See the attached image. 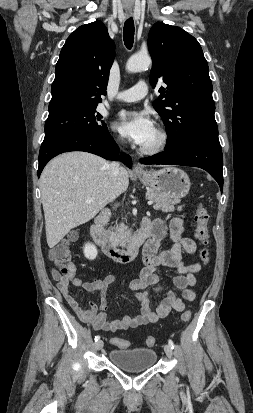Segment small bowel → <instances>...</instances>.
<instances>
[{
    "label": "small bowel",
    "mask_w": 253,
    "mask_h": 413,
    "mask_svg": "<svg viewBox=\"0 0 253 413\" xmlns=\"http://www.w3.org/2000/svg\"><path fill=\"white\" fill-rule=\"evenodd\" d=\"M145 220L151 226L152 236L143 249L144 267L140 271L139 278L130 284L131 288L137 291V299L141 307L139 315L125 316L116 320L107 319V290L116 281L114 275H109L101 280L84 282L76 277V268L72 263H70L71 273L68 275H62L56 268L52 269V276L66 302L81 321L91 324L95 330L116 332L155 323L166 317L171 310L183 311L185 309L184 302L195 299L196 294L193 290L197 283L195 274L201 270V265L198 262H185L183 259L184 253L193 255L196 251L195 242L190 238L182 237L183 220L173 218L170 221L169 234L173 245L161 253H158L159 242L166 235L167 226L159 218L154 220L146 218ZM160 266L177 269L178 275L173 278V285L181 291V296L178 297L174 291H168L156 308L152 309V294L161 293L164 289L157 273V268ZM70 285L82 287L89 293L100 292V305L98 306L91 301L88 308L81 307L71 294Z\"/></svg>",
    "instance_id": "c3829d8e"
}]
</instances>
